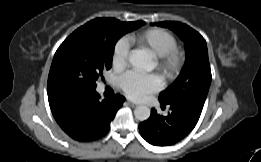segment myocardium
<instances>
[{"label":"myocardium","instance_id":"1","mask_svg":"<svg viewBox=\"0 0 261 162\" xmlns=\"http://www.w3.org/2000/svg\"><path fill=\"white\" fill-rule=\"evenodd\" d=\"M185 64V54L183 51L174 48L164 55L157 57L158 68L168 77L178 75Z\"/></svg>","mask_w":261,"mask_h":162}]
</instances>
